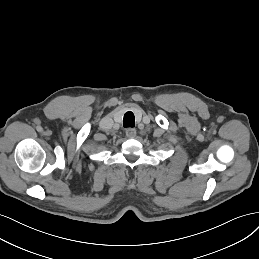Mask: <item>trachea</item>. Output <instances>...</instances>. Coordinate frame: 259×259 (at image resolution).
<instances>
[{
    "label": "trachea",
    "instance_id": "1",
    "mask_svg": "<svg viewBox=\"0 0 259 259\" xmlns=\"http://www.w3.org/2000/svg\"><path fill=\"white\" fill-rule=\"evenodd\" d=\"M134 125H135V116H134L133 112H131V111L126 112L124 115L123 126L125 128H128V127H133Z\"/></svg>",
    "mask_w": 259,
    "mask_h": 259
}]
</instances>
